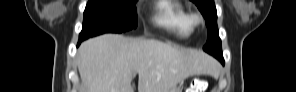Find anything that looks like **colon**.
I'll use <instances>...</instances> for the list:
<instances>
[{
    "mask_svg": "<svg viewBox=\"0 0 296 92\" xmlns=\"http://www.w3.org/2000/svg\"><path fill=\"white\" fill-rule=\"evenodd\" d=\"M205 83L202 78H196L191 82L189 92H200L204 89Z\"/></svg>",
    "mask_w": 296,
    "mask_h": 92,
    "instance_id": "obj_1",
    "label": "colon"
}]
</instances>
